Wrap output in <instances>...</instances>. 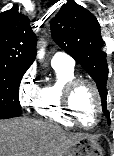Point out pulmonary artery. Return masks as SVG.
<instances>
[{
    "label": "pulmonary artery",
    "instance_id": "obj_1",
    "mask_svg": "<svg viewBox=\"0 0 114 156\" xmlns=\"http://www.w3.org/2000/svg\"><path fill=\"white\" fill-rule=\"evenodd\" d=\"M51 64L52 66L74 68L75 61L70 55L64 52H56L51 59Z\"/></svg>",
    "mask_w": 114,
    "mask_h": 156
}]
</instances>
